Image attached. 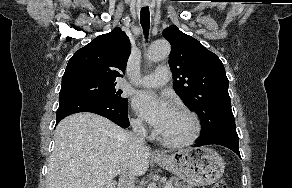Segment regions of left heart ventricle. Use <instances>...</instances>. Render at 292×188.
<instances>
[{"instance_id": "left-heart-ventricle-1", "label": "left heart ventricle", "mask_w": 292, "mask_h": 188, "mask_svg": "<svg viewBox=\"0 0 292 188\" xmlns=\"http://www.w3.org/2000/svg\"><path fill=\"white\" fill-rule=\"evenodd\" d=\"M192 131L191 119L187 115L174 110L160 134L167 139L181 140L188 137Z\"/></svg>"}]
</instances>
